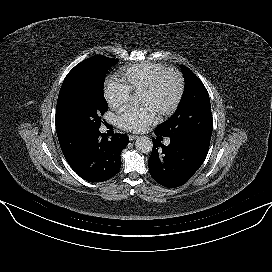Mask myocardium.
<instances>
[{
  "mask_svg": "<svg viewBox=\"0 0 272 272\" xmlns=\"http://www.w3.org/2000/svg\"><path fill=\"white\" fill-rule=\"evenodd\" d=\"M167 73H174L178 77L179 89L173 104L168 109L160 113L162 117H169L173 115L177 111L182 102L185 93V78L183 73L176 67L166 66L162 70H160L151 79V81L140 91V93H148L153 91L159 85L164 75H166Z\"/></svg>",
  "mask_w": 272,
  "mask_h": 272,
  "instance_id": "1",
  "label": "myocardium"
}]
</instances>
